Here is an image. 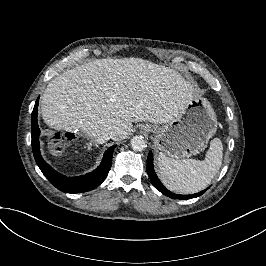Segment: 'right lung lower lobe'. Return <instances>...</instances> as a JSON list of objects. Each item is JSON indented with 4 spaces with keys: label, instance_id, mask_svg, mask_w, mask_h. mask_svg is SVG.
<instances>
[{
    "label": "right lung lower lobe",
    "instance_id": "1",
    "mask_svg": "<svg viewBox=\"0 0 266 266\" xmlns=\"http://www.w3.org/2000/svg\"><path fill=\"white\" fill-rule=\"evenodd\" d=\"M38 101L39 97L35 102V106L32 112L31 136L33 155L42 173L57 189L65 193H82L99 186L104 181L110 170L112 163V155L116 146H111L108 150H106L101 164L98 166L97 169L88 174L77 177H67L58 173L49 164L45 162L40 153V129L37 123Z\"/></svg>",
    "mask_w": 266,
    "mask_h": 266
}]
</instances>
